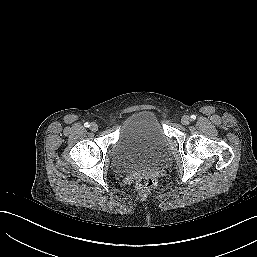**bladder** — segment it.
Segmentation results:
<instances>
[{
  "instance_id": "1",
  "label": "bladder",
  "mask_w": 257,
  "mask_h": 257,
  "mask_svg": "<svg viewBox=\"0 0 257 257\" xmlns=\"http://www.w3.org/2000/svg\"><path fill=\"white\" fill-rule=\"evenodd\" d=\"M126 153V165L136 168H156L169 157V145L155 114L149 110L137 112L117 141Z\"/></svg>"
}]
</instances>
